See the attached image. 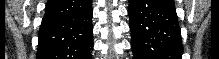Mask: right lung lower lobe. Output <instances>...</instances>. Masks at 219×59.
Listing matches in <instances>:
<instances>
[{
    "label": "right lung lower lobe",
    "instance_id": "1",
    "mask_svg": "<svg viewBox=\"0 0 219 59\" xmlns=\"http://www.w3.org/2000/svg\"><path fill=\"white\" fill-rule=\"evenodd\" d=\"M91 0H49L39 29L37 59H91Z\"/></svg>",
    "mask_w": 219,
    "mask_h": 59
}]
</instances>
